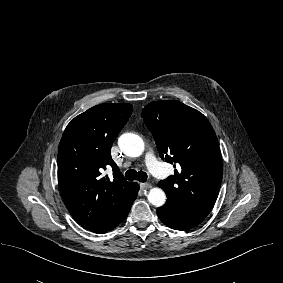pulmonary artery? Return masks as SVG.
<instances>
[{
  "mask_svg": "<svg viewBox=\"0 0 283 283\" xmlns=\"http://www.w3.org/2000/svg\"><path fill=\"white\" fill-rule=\"evenodd\" d=\"M145 161L151 172L159 178L166 177V170L165 168L157 161L154 154L149 152L145 156Z\"/></svg>",
  "mask_w": 283,
  "mask_h": 283,
  "instance_id": "obj_1",
  "label": "pulmonary artery"
}]
</instances>
